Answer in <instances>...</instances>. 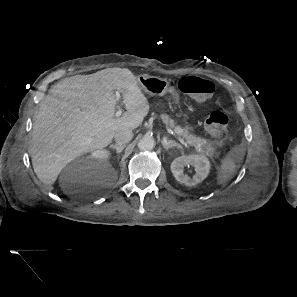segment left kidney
Segmentation results:
<instances>
[{
  "label": "left kidney",
  "instance_id": "obj_1",
  "mask_svg": "<svg viewBox=\"0 0 297 297\" xmlns=\"http://www.w3.org/2000/svg\"><path fill=\"white\" fill-rule=\"evenodd\" d=\"M185 166L194 167L195 174L191 177L184 173ZM171 171L175 179L186 186H195L209 174L210 161L204 155L180 156L171 163Z\"/></svg>",
  "mask_w": 297,
  "mask_h": 297
}]
</instances>
